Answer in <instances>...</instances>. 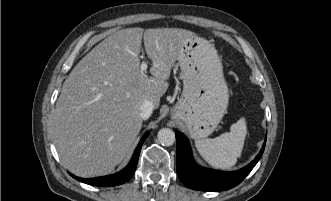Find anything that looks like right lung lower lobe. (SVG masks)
I'll return each mask as SVG.
<instances>
[{"mask_svg":"<svg viewBox=\"0 0 331 201\" xmlns=\"http://www.w3.org/2000/svg\"><path fill=\"white\" fill-rule=\"evenodd\" d=\"M148 134H146L141 141L139 142L133 157L129 163V165L122 171L113 174V175H109V176H104V177H98V178H91V179H83V178H79L76 177L72 174H70L73 178L84 182L86 184L89 185H95V186H116V185H120L123 184L125 182H127L134 174L135 170H136V165L138 162V158H139V153L141 150V146L144 142V140L146 139Z\"/></svg>","mask_w":331,"mask_h":201,"instance_id":"1","label":"right lung lower lobe"}]
</instances>
